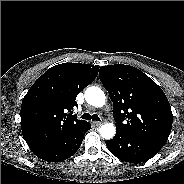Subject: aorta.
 Returning a JSON list of instances; mask_svg holds the SVG:
<instances>
[{"label":"aorta","instance_id":"aorta-1","mask_svg":"<svg viewBox=\"0 0 184 184\" xmlns=\"http://www.w3.org/2000/svg\"><path fill=\"white\" fill-rule=\"evenodd\" d=\"M85 100L94 107H102L105 105L106 96L99 87L92 86L86 89ZM99 132L104 139H111L114 137L116 129L112 123H107L101 126Z\"/></svg>","mask_w":184,"mask_h":184}]
</instances>
